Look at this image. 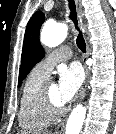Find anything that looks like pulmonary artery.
Segmentation results:
<instances>
[{"label":"pulmonary artery","instance_id":"1","mask_svg":"<svg viewBox=\"0 0 116 134\" xmlns=\"http://www.w3.org/2000/svg\"><path fill=\"white\" fill-rule=\"evenodd\" d=\"M72 56V51L68 46H63L51 54H49L44 60L37 64L36 68L43 74L49 75L52 68L59 62L65 61Z\"/></svg>","mask_w":116,"mask_h":134}]
</instances>
